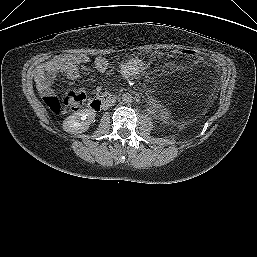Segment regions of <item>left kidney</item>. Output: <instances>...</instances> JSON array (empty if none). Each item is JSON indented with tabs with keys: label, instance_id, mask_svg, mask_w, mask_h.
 <instances>
[{
	"label": "left kidney",
	"instance_id": "left-kidney-1",
	"mask_svg": "<svg viewBox=\"0 0 257 257\" xmlns=\"http://www.w3.org/2000/svg\"><path fill=\"white\" fill-rule=\"evenodd\" d=\"M166 115H167V113L163 111V112H162V116L165 117Z\"/></svg>",
	"mask_w": 257,
	"mask_h": 257
}]
</instances>
